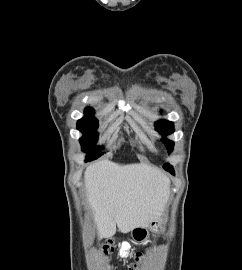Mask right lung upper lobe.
<instances>
[{"label":"right lung upper lobe","mask_w":242,"mask_h":270,"mask_svg":"<svg viewBox=\"0 0 242 270\" xmlns=\"http://www.w3.org/2000/svg\"><path fill=\"white\" fill-rule=\"evenodd\" d=\"M91 114H94V111L92 108L88 107L85 109V115H91Z\"/></svg>","instance_id":"right-lung-upper-lobe-1"}]
</instances>
